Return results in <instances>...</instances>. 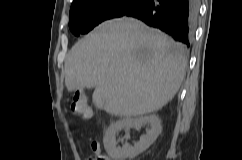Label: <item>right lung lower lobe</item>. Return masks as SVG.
Returning <instances> with one entry per match:
<instances>
[{
	"instance_id": "obj_1",
	"label": "right lung lower lobe",
	"mask_w": 242,
	"mask_h": 160,
	"mask_svg": "<svg viewBox=\"0 0 242 160\" xmlns=\"http://www.w3.org/2000/svg\"><path fill=\"white\" fill-rule=\"evenodd\" d=\"M199 0H144L123 16L142 20L190 46Z\"/></svg>"
}]
</instances>
